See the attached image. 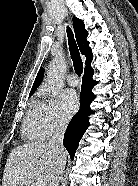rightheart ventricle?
<instances>
[{
	"instance_id": "obj_1",
	"label": "right heart ventricle",
	"mask_w": 138,
	"mask_h": 186,
	"mask_svg": "<svg viewBox=\"0 0 138 186\" xmlns=\"http://www.w3.org/2000/svg\"><path fill=\"white\" fill-rule=\"evenodd\" d=\"M43 108L44 104L37 96H35L31 100L30 107L22 127V133L27 140H43L48 136L42 122Z\"/></svg>"
}]
</instances>
